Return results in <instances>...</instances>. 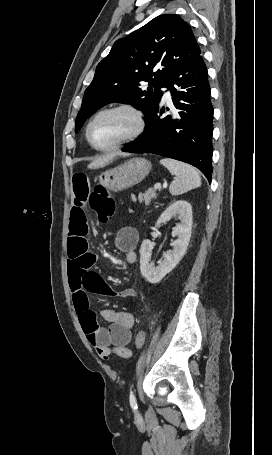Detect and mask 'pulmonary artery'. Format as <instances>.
<instances>
[{"label": "pulmonary artery", "instance_id": "1", "mask_svg": "<svg viewBox=\"0 0 272 455\" xmlns=\"http://www.w3.org/2000/svg\"><path fill=\"white\" fill-rule=\"evenodd\" d=\"M164 98H165V100H167V101H170V100H171V94H170L169 89H165Z\"/></svg>", "mask_w": 272, "mask_h": 455}]
</instances>
